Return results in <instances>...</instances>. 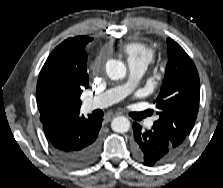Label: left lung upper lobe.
I'll return each mask as SVG.
<instances>
[{"instance_id": "obj_1", "label": "left lung upper lobe", "mask_w": 223, "mask_h": 188, "mask_svg": "<svg viewBox=\"0 0 223 188\" xmlns=\"http://www.w3.org/2000/svg\"><path fill=\"white\" fill-rule=\"evenodd\" d=\"M169 61L160 94L155 100L160 126L180 147L194 126L200 99L197 69L187 53L172 39H167Z\"/></svg>"}]
</instances>
